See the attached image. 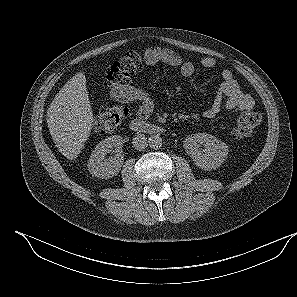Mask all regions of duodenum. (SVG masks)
<instances>
[{
	"label": "duodenum",
	"mask_w": 297,
	"mask_h": 297,
	"mask_svg": "<svg viewBox=\"0 0 297 297\" xmlns=\"http://www.w3.org/2000/svg\"><path fill=\"white\" fill-rule=\"evenodd\" d=\"M129 128L136 133L162 134L165 132V128L162 125L152 122H145L140 119L132 120L129 124Z\"/></svg>",
	"instance_id": "410a0bca"
}]
</instances>
